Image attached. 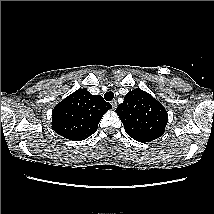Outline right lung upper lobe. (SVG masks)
Instances as JSON below:
<instances>
[{"label":"right lung upper lobe","mask_w":214,"mask_h":214,"mask_svg":"<svg viewBox=\"0 0 214 214\" xmlns=\"http://www.w3.org/2000/svg\"><path fill=\"white\" fill-rule=\"evenodd\" d=\"M112 106L101 95L79 89L58 103L52 111V129L66 139L81 141L96 132Z\"/></svg>","instance_id":"right-lung-upper-lobe-1"}]
</instances>
